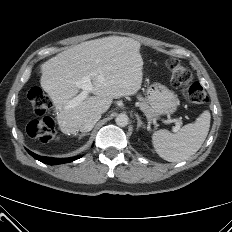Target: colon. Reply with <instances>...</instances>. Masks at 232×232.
I'll list each match as a JSON object with an SVG mask.
<instances>
[{
  "mask_svg": "<svg viewBox=\"0 0 232 232\" xmlns=\"http://www.w3.org/2000/svg\"><path fill=\"white\" fill-rule=\"evenodd\" d=\"M167 68L171 75L172 85L186 93L187 100L192 104H204L208 101V96L197 81H194L190 69L177 59L167 61ZM30 101L35 113L41 115L46 113L52 102L40 87H32L28 91ZM29 137L41 142H49L54 138L55 126L50 118L32 120L26 127Z\"/></svg>",
  "mask_w": 232,
  "mask_h": 232,
  "instance_id": "1",
  "label": "colon"
}]
</instances>
